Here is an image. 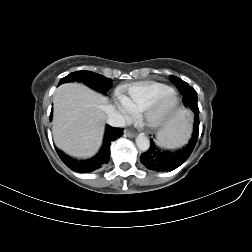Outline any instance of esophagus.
<instances>
[{"mask_svg": "<svg viewBox=\"0 0 252 252\" xmlns=\"http://www.w3.org/2000/svg\"><path fill=\"white\" fill-rule=\"evenodd\" d=\"M124 135H125L126 137H129V138H132V137L135 136V134L132 133V132L129 131V130H124Z\"/></svg>", "mask_w": 252, "mask_h": 252, "instance_id": "esophagus-1", "label": "esophagus"}]
</instances>
